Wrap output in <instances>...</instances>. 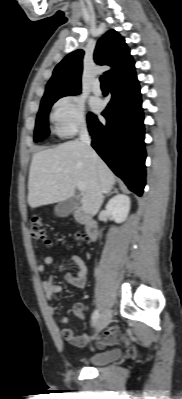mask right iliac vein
<instances>
[{"label":"right iliac vein","instance_id":"right-iliac-vein-1","mask_svg":"<svg viewBox=\"0 0 182 399\" xmlns=\"http://www.w3.org/2000/svg\"><path fill=\"white\" fill-rule=\"evenodd\" d=\"M112 318V313L110 309H105L102 314L100 315V318L97 322L96 325V330L101 331L102 329H104L111 321Z\"/></svg>","mask_w":182,"mask_h":399}]
</instances>
